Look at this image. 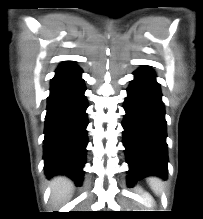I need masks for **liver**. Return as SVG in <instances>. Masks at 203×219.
Listing matches in <instances>:
<instances>
[{"label": "liver", "mask_w": 203, "mask_h": 219, "mask_svg": "<svg viewBox=\"0 0 203 219\" xmlns=\"http://www.w3.org/2000/svg\"><path fill=\"white\" fill-rule=\"evenodd\" d=\"M51 201L54 207H58L71 198L73 183L64 176L55 177L51 181Z\"/></svg>", "instance_id": "1"}]
</instances>
